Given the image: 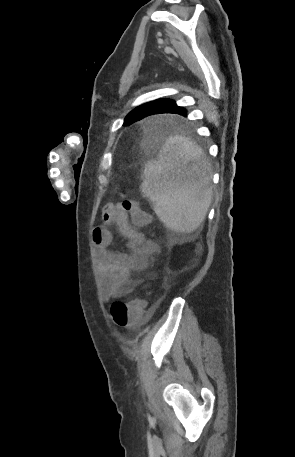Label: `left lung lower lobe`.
<instances>
[{"instance_id":"1","label":"left lung lower lobe","mask_w":295,"mask_h":457,"mask_svg":"<svg viewBox=\"0 0 295 457\" xmlns=\"http://www.w3.org/2000/svg\"><path fill=\"white\" fill-rule=\"evenodd\" d=\"M160 113H173L186 116V110L182 107H178L176 103L170 99H166L160 104L156 105L151 111L150 115L160 114Z\"/></svg>"}]
</instances>
